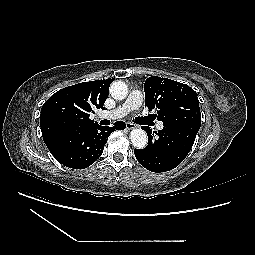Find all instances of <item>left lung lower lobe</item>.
Here are the masks:
<instances>
[{"label": "left lung lower lobe", "mask_w": 255, "mask_h": 255, "mask_svg": "<svg viewBox=\"0 0 255 255\" xmlns=\"http://www.w3.org/2000/svg\"><path fill=\"white\" fill-rule=\"evenodd\" d=\"M163 125L162 130L153 134L150 127L143 126L148 145L144 149H134L138 162L152 172H166L177 167L190 152L201 126L196 123Z\"/></svg>", "instance_id": "0a47b994"}]
</instances>
